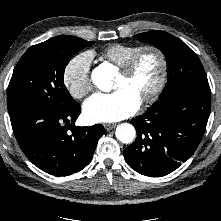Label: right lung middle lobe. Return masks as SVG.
<instances>
[{
    "label": "right lung middle lobe",
    "instance_id": "1",
    "mask_svg": "<svg viewBox=\"0 0 221 221\" xmlns=\"http://www.w3.org/2000/svg\"><path fill=\"white\" fill-rule=\"evenodd\" d=\"M93 44L78 37L60 35L30 47L17 63L10 80L8 111L33 104L50 109L77 104L64 85V71L74 54Z\"/></svg>",
    "mask_w": 221,
    "mask_h": 221
}]
</instances>
